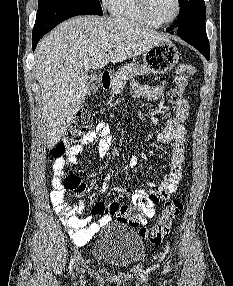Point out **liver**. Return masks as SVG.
Here are the masks:
<instances>
[{"label": "liver", "mask_w": 233, "mask_h": 286, "mask_svg": "<svg viewBox=\"0 0 233 286\" xmlns=\"http://www.w3.org/2000/svg\"><path fill=\"white\" fill-rule=\"evenodd\" d=\"M168 40L132 20L97 16L69 19L41 39L35 51V76L42 89L47 148L58 144L80 110L91 68L125 61Z\"/></svg>", "instance_id": "obj_1"}]
</instances>
